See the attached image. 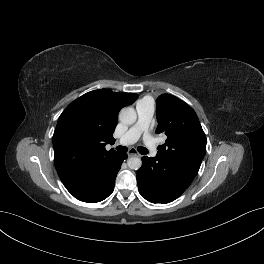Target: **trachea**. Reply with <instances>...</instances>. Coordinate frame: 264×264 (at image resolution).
<instances>
[{
	"label": "trachea",
	"mask_w": 264,
	"mask_h": 264,
	"mask_svg": "<svg viewBox=\"0 0 264 264\" xmlns=\"http://www.w3.org/2000/svg\"><path fill=\"white\" fill-rule=\"evenodd\" d=\"M116 149L119 151V152H122V153H125L127 152L128 148L127 147H124V146H118L116 147ZM138 152L142 155H145L148 153V150L145 148V147H138L137 148Z\"/></svg>",
	"instance_id": "3493384b"
}]
</instances>
